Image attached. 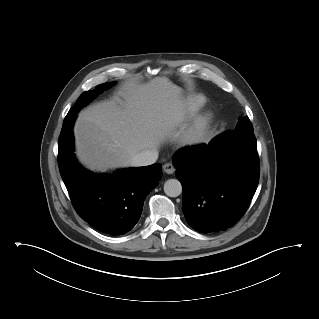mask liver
<instances>
[{
  "mask_svg": "<svg viewBox=\"0 0 319 319\" xmlns=\"http://www.w3.org/2000/svg\"><path fill=\"white\" fill-rule=\"evenodd\" d=\"M181 94L166 77H157L128 82L111 100L81 111L73 130L80 162L98 172L128 167L135 155L178 137Z\"/></svg>",
  "mask_w": 319,
  "mask_h": 319,
  "instance_id": "6515ba94",
  "label": "liver"
}]
</instances>
